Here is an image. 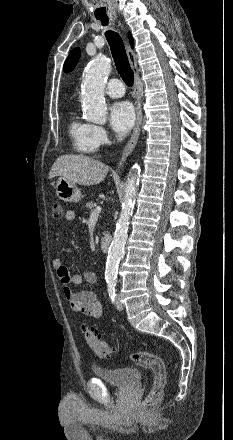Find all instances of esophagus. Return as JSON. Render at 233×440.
<instances>
[{
	"label": "esophagus",
	"instance_id": "1",
	"mask_svg": "<svg viewBox=\"0 0 233 440\" xmlns=\"http://www.w3.org/2000/svg\"><path fill=\"white\" fill-rule=\"evenodd\" d=\"M127 55L129 58L130 66L134 72L135 75V81H134V96H135V108H136V123L132 132V135L125 146L121 160L118 164V168L122 167L124 162L126 161L127 157L132 153L134 150L139 134H140V127L142 122V109H141V97H140V81H139V71L137 68V61L136 56L134 52L132 51L131 47L127 43L126 45Z\"/></svg>",
	"mask_w": 233,
	"mask_h": 440
}]
</instances>
